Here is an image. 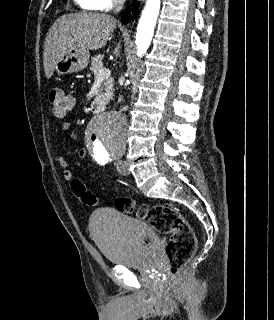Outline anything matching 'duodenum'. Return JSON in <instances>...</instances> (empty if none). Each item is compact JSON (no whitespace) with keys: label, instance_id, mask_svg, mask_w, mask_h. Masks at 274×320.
<instances>
[{"label":"duodenum","instance_id":"1","mask_svg":"<svg viewBox=\"0 0 274 320\" xmlns=\"http://www.w3.org/2000/svg\"><path fill=\"white\" fill-rule=\"evenodd\" d=\"M92 108L93 110L102 113L104 111V104L100 99L96 98L92 101Z\"/></svg>","mask_w":274,"mask_h":320}]
</instances>
